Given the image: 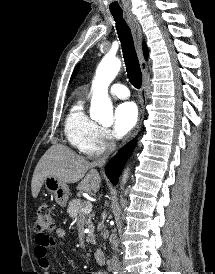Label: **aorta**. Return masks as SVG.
I'll list each match as a JSON object with an SVG mask.
<instances>
[{"instance_id":"1","label":"aorta","mask_w":215,"mask_h":274,"mask_svg":"<svg viewBox=\"0 0 215 274\" xmlns=\"http://www.w3.org/2000/svg\"><path fill=\"white\" fill-rule=\"evenodd\" d=\"M121 67L118 58L105 56L100 62L92 83L90 117L106 125L113 122V107L108 96V86L114 80Z\"/></svg>"}]
</instances>
